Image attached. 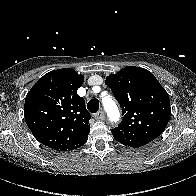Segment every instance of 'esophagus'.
Masks as SVG:
<instances>
[{
  "instance_id": "esophagus-1",
  "label": "esophagus",
  "mask_w": 196,
  "mask_h": 196,
  "mask_svg": "<svg viewBox=\"0 0 196 196\" xmlns=\"http://www.w3.org/2000/svg\"><path fill=\"white\" fill-rule=\"evenodd\" d=\"M93 117L96 119V120H103L105 119V113L104 111L100 110L99 112L95 113L93 115Z\"/></svg>"
}]
</instances>
